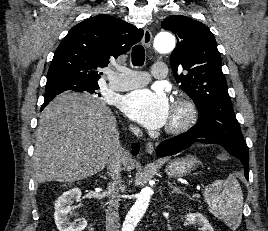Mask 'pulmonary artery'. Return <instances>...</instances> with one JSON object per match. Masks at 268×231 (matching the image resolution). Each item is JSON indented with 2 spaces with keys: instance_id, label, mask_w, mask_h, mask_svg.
I'll return each instance as SVG.
<instances>
[{
  "instance_id": "1",
  "label": "pulmonary artery",
  "mask_w": 268,
  "mask_h": 231,
  "mask_svg": "<svg viewBox=\"0 0 268 231\" xmlns=\"http://www.w3.org/2000/svg\"><path fill=\"white\" fill-rule=\"evenodd\" d=\"M152 76L157 79H164L167 74V66L163 62L155 61L152 65ZM149 80L146 72L128 70L123 74L113 71L108 87L112 91L124 92L145 85Z\"/></svg>"
}]
</instances>
